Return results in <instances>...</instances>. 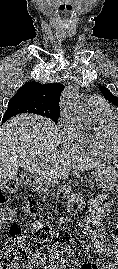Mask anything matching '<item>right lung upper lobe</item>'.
Here are the masks:
<instances>
[{"label": "right lung upper lobe", "mask_w": 118, "mask_h": 269, "mask_svg": "<svg viewBox=\"0 0 118 269\" xmlns=\"http://www.w3.org/2000/svg\"><path fill=\"white\" fill-rule=\"evenodd\" d=\"M62 90L63 86L60 83L41 84L33 81L24 84L15 96L30 98L43 106L59 107Z\"/></svg>", "instance_id": "obj_1"}]
</instances>
